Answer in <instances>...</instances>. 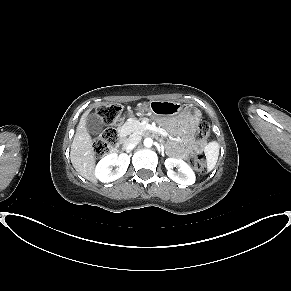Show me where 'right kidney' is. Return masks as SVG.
Here are the masks:
<instances>
[{"label": "right kidney", "mask_w": 291, "mask_h": 291, "mask_svg": "<svg viewBox=\"0 0 291 291\" xmlns=\"http://www.w3.org/2000/svg\"><path fill=\"white\" fill-rule=\"evenodd\" d=\"M129 163L130 156L127 154H109L102 158L96 165L95 177L104 183L115 181L126 173ZM115 165L117 169L112 171V167Z\"/></svg>", "instance_id": "1"}]
</instances>
